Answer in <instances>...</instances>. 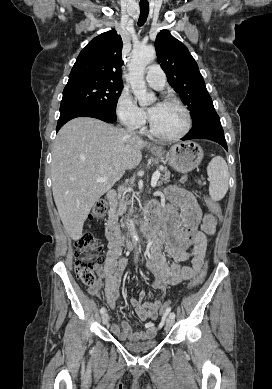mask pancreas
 <instances>
[{
	"mask_svg": "<svg viewBox=\"0 0 272 389\" xmlns=\"http://www.w3.org/2000/svg\"><path fill=\"white\" fill-rule=\"evenodd\" d=\"M160 170L164 172L163 176L161 177V183H167L170 178L169 171L167 170L166 167H161ZM126 208H127V203L124 201L123 198H119L118 201L114 202L111 205L110 217L118 218L125 212Z\"/></svg>",
	"mask_w": 272,
	"mask_h": 389,
	"instance_id": "pancreas-1",
	"label": "pancreas"
}]
</instances>
